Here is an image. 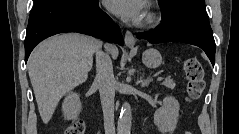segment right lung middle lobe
<instances>
[{
	"instance_id": "obj_1",
	"label": "right lung middle lobe",
	"mask_w": 239,
	"mask_h": 134,
	"mask_svg": "<svg viewBox=\"0 0 239 134\" xmlns=\"http://www.w3.org/2000/svg\"><path fill=\"white\" fill-rule=\"evenodd\" d=\"M45 0H34V6L39 5L40 3L44 2Z\"/></svg>"
}]
</instances>
